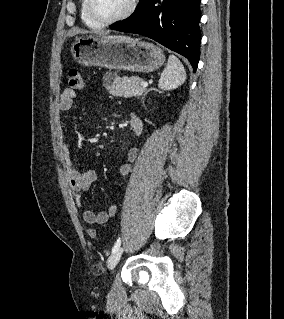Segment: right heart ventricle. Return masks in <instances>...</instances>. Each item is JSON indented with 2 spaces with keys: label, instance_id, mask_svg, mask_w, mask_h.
I'll use <instances>...</instances> for the list:
<instances>
[{
  "label": "right heart ventricle",
  "instance_id": "1",
  "mask_svg": "<svg viewBox=\"0 0 284 319\" xmlns=\"http://www.w3.org/2000/svg\"><path fill=\"white\" fill-rule=\"evenodd\" d=\"M80 18L82 22L91 29H100L102 26L96 22H94L88 15L87 9H86V0H80Z\"/></svg>",
  "mask_w": 284,
  "mask_h": 319
}]
</instances>
